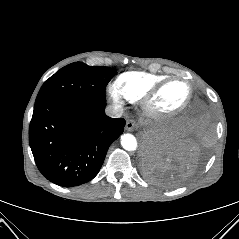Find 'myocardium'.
Segmentation results:
<instances>
[{
  "instance_id": "f54148a6",
  "label": "myocardium",
  "mask_w": 239,
  "mask_h": 239,
  "mask_svg": "<svg viewBox=\"0 0 239 239\" xmlns=\"http://www.w3.org/2000/svg\"><path fill=\"white\" fill-rule=\"evenodd\" d=\"M184 83L187 87V96L184 101L176 108L172 110H163L159 109L155 106L156 99L159 95L167 88L169 85L173 83ZM192 98V86L191 84L184 79L180 78H171L164 80L163 82L159 83L155 87H153L150 91L146 93V95L142 98V106L145 113L154 118H161V117H174L181 112H183L186 107L189 105Z\"/></svg>"
}]
</instances>
